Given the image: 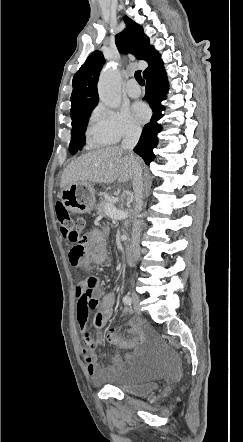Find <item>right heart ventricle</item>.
Segmentation results:
<instances>
[{
    "label": "right heart ventricle",
    "instance_id": "e07e8e85",
    "mask_svg": "<svg viewBox=\"0 0 243 442\" xmlns=\"http://www.w3.org/2000/svg\"><path fill=\"white\" fill-rule=\"evenodd\" d=\"M86 140L90 147H102L110 145L112 143L109 138H107L99 131L94 118L92 119L86 131Z\"/></svg>",
    "mask_w": 243,
    "mask_h": 442
}]
</instances>
